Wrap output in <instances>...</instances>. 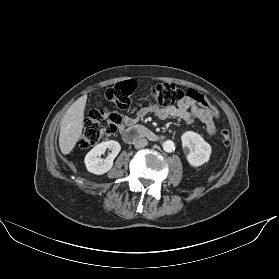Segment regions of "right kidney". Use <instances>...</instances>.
Returning a JSON list of instances; mask_svg holds the SVG:
<instances>
[{
	"label": "right kidney",
	"mask_w": 279,
	"mask_h": 279,
	"mask_svg": "<svg viewBox=\"0 0 279 279\" xmlns=\"http://www.w3.org/2000/svg\"><path fill=\"white\" fill-rule=\"evenodd\" d=\"M106 149L111 150L105 159L100 158ZM121 150V146L117 141L109 140L102 142L92 148L85 156L84 162L89 172L97 175L108 172L112 166L113 161Z\"/></svg>",
	"instance_id": "obj_1"
}]
</instances>
